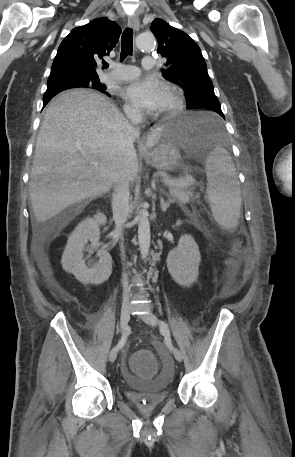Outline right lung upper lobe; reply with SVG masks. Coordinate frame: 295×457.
<instances>
[{
    "label": "right lung upper lobe",
    "instance_id": "cb5924a9",
    "mask_svg": "<svg viewBox=\"0 0 295 457\" xmlns=\"http://www.w3.org/2000/svg\"><path fill=\"white\" fill-rule=\"evenodd\" d=\"M120 33V27L107 18L74 28L58 48L47 84L84 85L86 78L97 76L99 58L109 55Z\"/></svg>",
    "mask_w": 295,
    "mask_h": 457
}]
</instances>
